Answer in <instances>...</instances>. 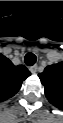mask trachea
<instances>
[{
	"label": "trachea",
	"instance_id": "3493384b",
	"mask_svg": "<svg viewBox=\"0 0 63 123\" xmlns=\"http://www.w3.org/2000/svg\"><path fill=\"white\" fill-rule=\"evenodd\" d=\"M24 62L27 66H33L36 63V56L32 52H28L24 57Z\"/></svg>",
	"mask_w": 63,
	"mask_h": 123
}]
</instances>
